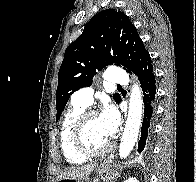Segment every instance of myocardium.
Wrapping results in <instances>:
<instances>
[{
    "instance_id": "obj_1",
    "label": "myocardium",
    "mask_w": 196,
    "mask_h": 182,
    "mask_svg": "<svg viewBox=\"0 0 196 182\" xmlns=\"http://www.w3.org/2000/svg\"><path fill=\"white\" fill-rule=\"evenodd\" d=\"M99 115L97 110L94 109H87L81 113V115L76 120L72 133H71V142L74 150L81 154L82 156L89 158V157H99L102 155L107 154L113 147V142L110 141L105 147L99 150H90L83 141V133L85 126L88 120L92 116Z\"/></svg>"
}]
</instances>
